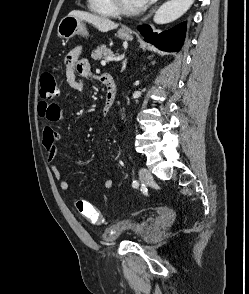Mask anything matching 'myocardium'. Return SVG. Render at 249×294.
Returning a JSON list of instances; mask_svg holds the SVG:
<instances>
[{
  "instance_id": "f54148a6",
  "label": "myocardium",
  "mask_w": 249,
  "mask_h": 294,
  "mask_svg": "<svg viewBox=\"0 0 249 294\" xmlns=\"http://www.w3.org/2000/svg\"><path fill=\"white\" fill-rule=\"evenodd\" d=\"M110 1L118 14L135 15L141 11V8L130 9L125 7L122 0H110Z\"/></svg>"
}]
</instances>
